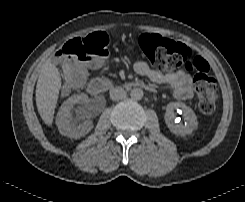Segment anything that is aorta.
<instances>
[{"label": "aorta", "mask_w": 245, "mask_h": 202, "mask_svg": "<svg viewBox=\"0 0 245 202\" xmlns=\"http://www.w3.org/2000/svg\"><path fill=\"white\" fill-rule=\"evenodd\" d=\"M143 90L141 88H133L130 92V96L133 100H141L143 98Z\"/></svg>", "instance_id": "1"}]
</instances>
